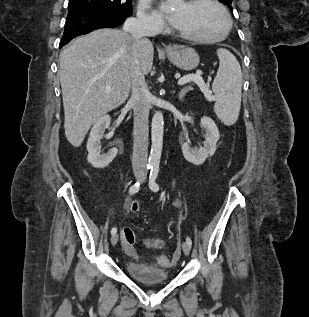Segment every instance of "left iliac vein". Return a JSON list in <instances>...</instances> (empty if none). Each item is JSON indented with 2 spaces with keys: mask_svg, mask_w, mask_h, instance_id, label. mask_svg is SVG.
Here are the masks:
<instances>
[{
  "mask_svg": "<svg viewBox=\"0 0 309 317\" xmlns=\"http://www.w3.org/2000/svg\"><path fill=\"white\" fill-rule=\"evenodd\" d=\"M182 250H183L185 255H189L190 250H191V246L187 242H183L182 243Z\"/></svg>",
  "mask_w": 309,
  "mask_h": 317,
  "instance_id": "left-iliac-vein-1",
  "label": "left iliac vein"
}]
</instances>
